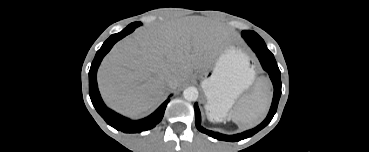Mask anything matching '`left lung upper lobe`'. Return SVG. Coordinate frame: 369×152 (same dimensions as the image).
Returning a JSON list of instances; mask_svg holds the SVG:
<instances>
[{"label":"left lung upper lobe","mask_w":369,"mask_h":152,"mask_svg":"<svg viewBox=\"0 0 369 152\" xmlns=\"http://www.w3.org/2000/svg\"><path fill=\"white\" fill-rule=\"evenodd\" d=\"M241 34H242V37L245 39V41L248 43V45H249L250 42L265 43L263 41V39L256 32H254V31L244 30V31H242ZM264 46L268 50V48L266 47V44Z\"/></svg>","instance_id":"obj_1"}]
</instances>
